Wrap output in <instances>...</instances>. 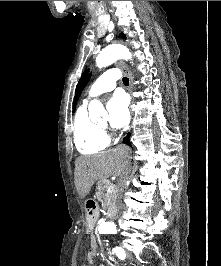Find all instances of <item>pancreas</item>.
<instances>
[{"label":"pancreas","mask_w":221,"mask_h":266,"mask_svg":"<svg viewBox=\"0 0 221 266\" xmlns=\"http://www.w3.org/2000/svg\"><path fill=\"white\" fill-rule=\"evenodd\" d=\"M112 183L109 180L98 181L96 187V196L97 199L101 202L107 200L110 204V207L115 203L117 199L118 190L115 188L110 194H106L105 191Z\"/></svg>","instance_id":"pancreas-1"}]
</instances>
